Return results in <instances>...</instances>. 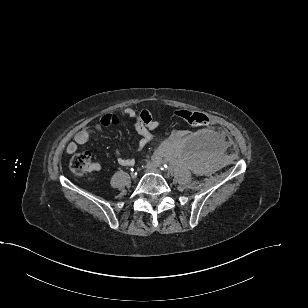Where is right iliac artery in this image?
I'll return each instance as SVG.
<instances>
[{
	"label": "right iliac artery",
	"instance_id": "1",
	"mask_svg": "<svg viewBox=\"0 0 308 308\" xmlns=\"http://www.w3.org/2000/svg\"><path fill=\"white\" fill-rule=\"evenodd\" d=\"M131 171L133 172L134 171V169L133 168H131ZM136 174V173H135Z\"/></svg>",
	"mask_w": 308,
	"mask_h": 308
}]
</instances>
